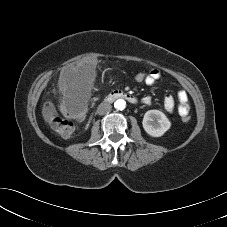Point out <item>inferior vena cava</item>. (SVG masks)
<instances>
[{
    "instance_id": "obj_1",
    "label": "inferior vena cava",
    "mask_w": 227,
    "mask_h": 227,
    "mask_svg": "<svg viewBox=\"0 0 227 227\" xmlns=\"http://www.w3.org/2000/svg\"><path fill=\"white\" fill-rule=\"evenodd\" d=\"M111 109H112L111 104L102 102L97 108V113L99 115H104V114L109 113L111 111Z\"/></svg>"
}]
</instances>
